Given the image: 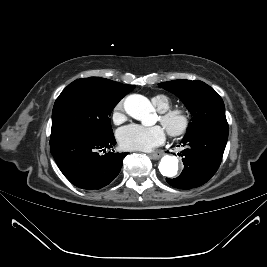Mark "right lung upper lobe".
<instances>
[{
	"label": "right lung upper lobe",
	"instance_id": "1",
	"mask_svg": "<svg viewBox=\"0 0 267 267\" xmlns=\"http://www.w3.org/2000/svg\"><path fill=\"white\" fill-rule=\"evenodd\" d=\"M99 79L104 81V82H106V83H118V82H114V81H111V80H108V79H104V78H99ZM125 86H130V85H125Z\"/></svg>",
	"mask_w": 267,
	"mask_h": 267
}]
</instances>
